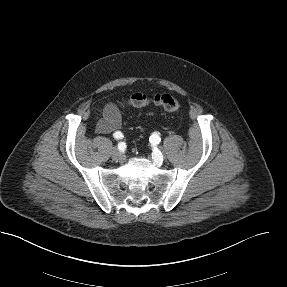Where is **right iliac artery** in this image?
Returning <instances> with one entry per match:
<instances>
[{
	"label": "right iliac artery",
	"instance_id": "82829eb1",
	"mask_svg": "<svg viewBox=\"0 0 287 287\" xmlns=\"http://www.w3.org/2000/svg\"><path fill=\"white\" fill-rule=\"evenodd\" d=\"M113 136H114V138H116V139H122L123 138V134L121 133V132H115L114 134H113ZM125 148H126V144L124 143V142H120L119 144H118V149L119 150H125Z\"/></svg>",
	"mask_w": 287,
	"mask_h": 287
}]
</instances>
